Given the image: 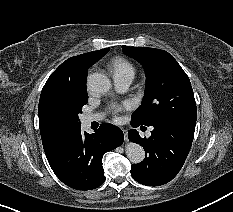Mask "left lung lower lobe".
Masks as SVG:
<instances>
[{"mask_svg": "<svg viewBox=\"0 0 233 212\" xmlns=\"http://www.w3.org/2000/svg\"><path fill=\"white\" fill-rule=\"evenodd\" d=\"M131 125L140 126L133 122ZM152 126L148 139L141 138L136 130L128 132L129 140L142 145L146 152L141 163L131 166V175L143 185L159 186L171 181L182 168L192 145L195 125L160 121Z\"/></svg>", "mask_w": 233, "mask_h": 212, "instance_id": "1", "label": "left lung lower lobe"}]
</instances>
